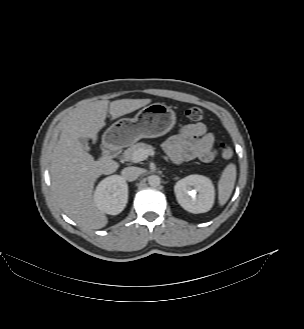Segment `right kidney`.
Wrapping results in <instances>:
<instances>
[{"label":"right kidney","mask_w":304,"mask_h":329,"mask_svg":"<svg viewBox=\"0 0 304 329\" xmlns=\"http://www.w3.org/2000/svg\"><path fill=\"white\" fill-rule=\"evenodd\" d=\"M94 202L97 208L107 214L117 215L128 202V185L119 175L106 177L96 187Z\"/></svg>","instance_id":"right-kidney-1"}]
</instances>
